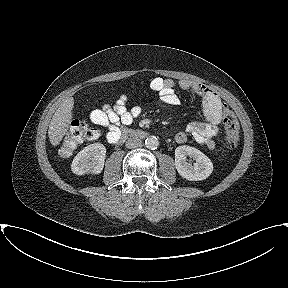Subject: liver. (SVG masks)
Here are the masks:
<instances>
[{
  "instance_id": "obj_1",
  "label": "liver",
  "mask_w": 288,
  "mask_h": 288,
  "mask_svg": "<svg viewBox=\"0 0 288 288\" xmlns=\"http://www.w3.org/2000/svg\"><path fill=\"white\" fill-rule=\"evenodd\" d=\"M73 107L74 99L69 97L59 106L53 115L48 129L49 140L53 146L59 145L68 132L73 118Z\"/></svg>"
}]
</instances>
